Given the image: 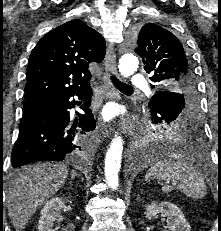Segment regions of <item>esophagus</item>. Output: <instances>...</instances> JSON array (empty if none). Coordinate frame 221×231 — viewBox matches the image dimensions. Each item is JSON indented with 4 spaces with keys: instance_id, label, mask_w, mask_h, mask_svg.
I'll list each match as a JSON object with an SVG mask.
<instances>
[{
    "instance_id": "esophagus-1",
    "label": "esophagus",
    "mask_w": 221,
    "mask_h": 231,
    "mask_svg": "<svg viewBox=\"0 0 221 231\" xmlns=\"http://www.w3.org/2000/svg\"><path fill=\"white\" fill-rule=\"evenodd\" d=\"M105 69H106V73H105L104 83L108 88L109 96L116 97V91L112 88V83L110 80L111 75H117L116 55L112 43H110L107 48ZM99 127L104 137H109L111 135L110 126L104 123H100Z\"/></svg>"
}]
</instances>
